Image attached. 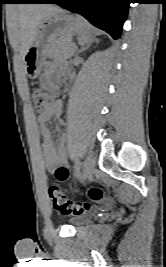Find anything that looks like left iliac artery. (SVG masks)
I'll return each instance as SVG.
<instances>
[{"instance_id":"obj_1","label":"left iliac artery","mask_w":166,"mask_h":267,"mask_svg":"<svg viewBox=\"0 0 166 267\" xmlns=\"http://www.w3.org/2000/svg\"><path fill=\"white\" fill-rule=\"evenodd\" d=\"M80 167H81V162L79 159L76 160L75 166H74V175L75 177H78L80 175Z\"/></svg>"}]
</instances>
